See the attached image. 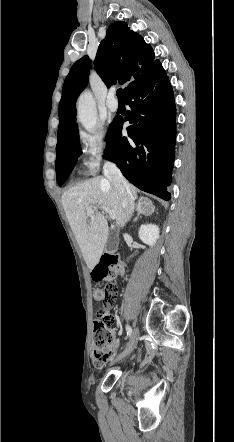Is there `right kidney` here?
<instances>
[{
	"label": "right kidney",
	"mask_w": 234,
	"mask_h": 442,
	"mask_svg": "<svg viewBox=\"0 0 234 442\" xmlns=\"http://www.w3.org/2000/svg\"><path fill=\"white\" fill-rule=\"evenodd\" d=\"M138 235L143 243L154 246L159 238V227L154 224L141 225Z\"/></svg>",
	"instance_id": "1"
}]
</instances>
